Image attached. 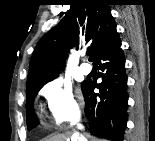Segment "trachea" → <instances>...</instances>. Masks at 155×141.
Here are the masks:
<instances>
[{
  "instance_id": "obj_1",
  "label": "trachea",
  "mask_w": 155,
  "mask_h": 141,
  "mask_svg": "<svg viewBox=\"0 0 155 141\" xmlns=\"http://www.w3.org/2000/svg\"><path fill=\"white\" fill-rule=\"evenodd\" d=\"M90 54H91V50H88V51H87V55H90Z\"/></svg>"
}]
</instances>
